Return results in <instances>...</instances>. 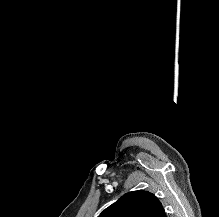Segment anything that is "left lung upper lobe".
Listing matches in <instances>:
<instances>
[{
    "mask_svg": "<svg viewBox=\"0 0 219 217\" xmlns=\"http://www.w3.org/2000/svg\"><path fill=\"white\" fill-rule=\"evenodd\" d=\"M99 217H167L158 198L144 190L128 192Z\"/></svg>",
    "mask_w": 219,
    "mask_h": 217,
    "instance_id": "left-lung-upper-lobe-1",
    "label": "left lung upper lobe"
}]
</instances>
